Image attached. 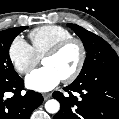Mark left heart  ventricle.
I'll return each mask as SVG.
<instances>
[{"instance_id": "b2bd125f", "label": "left heart ventricle", "mask_w": 119, "mask_h": 119, "mask_svg": "<svg viewBox=\"0 0 119 119\" xmlns=\"http://www.w3.org/2000/svg\"><path fill=\"white\" fill-rule=\"evenodd\" d=\"M80 50L76 44H71L62 53L43 60V65L53 68L62 78L69 75L77 66Z\"/></svg>"}]
</instances>
